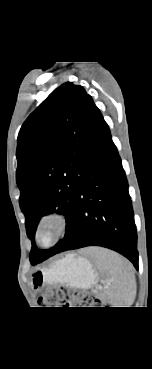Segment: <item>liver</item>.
Returning a JSON list of instances; mask_svg holds the SVG:
<instances>
[{"instance_id": "obj_1", "label": "liver", "mask_w": 152, "mask_h": 369, "mask_svg": "<svg viewBox=\"0 0 152 369\" xmlns=\"http://www.w3.org/2000/svg\"><path fill=\"white\" fill-rule=\"evenodd\" d=\"M87 252H88L89 254H92V253L94 252V248H93V249H88V250H87Z\"/></svg>"}]
</instances>
